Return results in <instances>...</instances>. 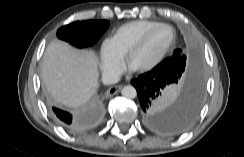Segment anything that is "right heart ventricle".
<instances>
[{
    "instance_id": "1",
    "label": "right heart ventricle",
    "mask_w": 244,
    "mask_h": 157,
    "mask_svg": "<svg viewBox=\"0 0 244 157\" xmlns=\"http://www.w3.org/2000/svg\"><path fill=\"white\" fill-rule=\"evenodd\" d=\"M161 23L153 20H136L119 26L112 34L110 43L120 55H126L130 47L151 27Z\"/></svg>"
}]
</instances>
